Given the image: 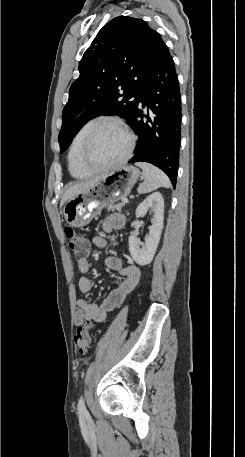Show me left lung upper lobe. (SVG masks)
I'll list each match as a JSON object with an SVG mask.
<instances>
[{
    "label": "left lung upper lobe",
    "instance_id": "left-lung-upper-lobe-1",
    "mask_svg": "<svg viewBox=\"0 0 245 457\" xmlns=\"http://www.w3.org/2000/svg\"><path fill=\"white\" fill-rule=\"evenodd\" d=\"M160 39L144 20L128 16L116 17L102 27L84 53L80 76L70 87L58 137L60 153L96 116L132 120L139 106L140 86Z\"/></svg>",
    "mask_w": 245,
    "mask_h": 457
}]
</instances>
